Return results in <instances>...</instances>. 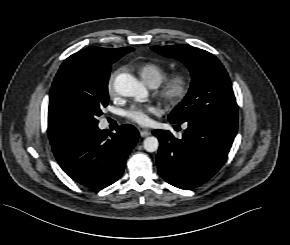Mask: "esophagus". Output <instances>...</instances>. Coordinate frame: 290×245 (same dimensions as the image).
<instances>
[{
    "label": "esophagus",
    "mask_w": 290,
    "mask_h": 245,
    "mask_svg": "<svg viewBox=\"0 0 290 245\" xmlns=\"http://www.w3.org/2000/svg\"><path fill=\"white\" fill-rule=\"evenodd\" d=\"M151 134V132L149 130L143 129L140 131V135L141 137H147Z\"/></svg>",
    "instance_id": "esophagus-1"
}]
</instances>
